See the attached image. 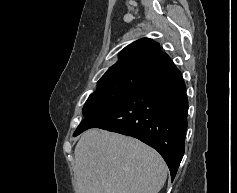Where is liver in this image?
Wrapping results in <instances>:
<instances>
[{
	"label": "liver",
	"instance_id": "liver-1",
	"mask_svg": "<svg viewBox=\"0 0 237 193\" xmlns=\"http://www.w3.org/2000/svg\"><path fill=\"white\" fill-rule=\"evenodd\" d=\"M75 193H158L167 166L153 148L133 137L86 131L74 150Z\"/></svg>",
	"mask_w": 237,
	"mask_h": 193
}]
</instances>
